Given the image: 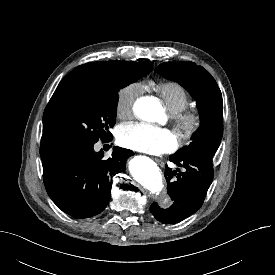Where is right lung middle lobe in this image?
<instances>
[{
    "instance_id": "dd1d6c3e",
    "label": "right lung middle lobe",
    "mask_w": 275,
    "mask_h": 275,
    "mask_svg": "<svg viewBox=\"0 0 275 275\" xmlns=\"http://www.w3.org/2000/svg\"><path fill=\"white\" fill-rule=\"evenodd\" d=\"M149 72V68L129 65L113 82L57 87L44 111L43 133L60 150L112 139L109 128L115 124L118 90Z\"/></svg>"
}]
</instances>
